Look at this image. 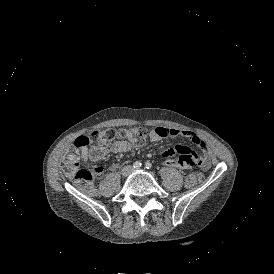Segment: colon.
<instances>
[{"mask_svg":"<svg viewBox=\"0 0 274 274\" xmlns=\"http://www.w3.org/2000/svg\"><path fill=\"white\" fill-rule=\"evenodd\" d=\"M93 136L102 138L106 143H110L115 137L119 139L129 140L132 143L140 144L147 136V131L144 128L132 129H113L107 128L104 130L95 131ZM74 145L71 146L63 163L64 173L74 180L77 184L88 186L94 175L103 171V167L96 165L93 167H81L76 153V147H87L89 141L86 133L74 134ZM203 174L200 171L191 172L187 175L186 182L191 188H194L203 181Z\"/></svg>","mask_w":274,"mask_h":274,"instance_id":"colon-1","label":"colon"}]
</instances>
